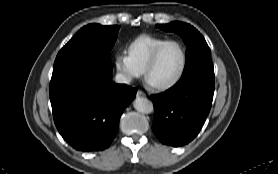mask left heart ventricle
Listing matches in <instances>:
<instances>
[{
  "instance_id": "left-heart-ventricle-1",
  "label": "left heart ventricle",
  "mask_w": 278,
  "mask_h": 174,
  "mask_svg": "<svg viewBox=\"0 0 278 174\" xmlns=\"http://www.w3.org/2000/svg\"><path fill=\"white\" fill-rule=\"evenodd\" d=\"M182 61L181 49L177 44H168L160 52L149 74L153 83H162L172 79L178 72Z\"/></svg>"
}]
</instances>
